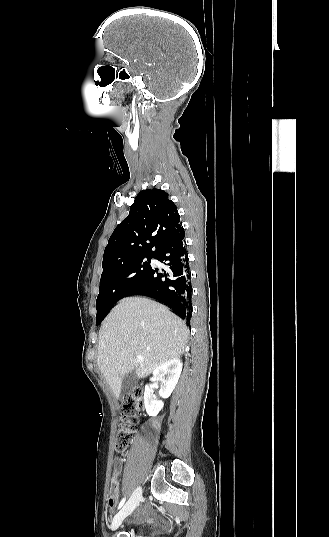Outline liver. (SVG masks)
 Returning a JSON list of instances; mask_svg holds the SVG:
<instances>
[{
	"label": "liver",
	"instance_id": "6515ba94",
	"mask_svg": "<svg viewBox=\"0 0 329 537\" xmlns=\"http://www.w3.org/2000/svg\"><path fill=\"white\" fill-rule=\"evenodd\" d=\"M188 338L185 322L164 305L143 297L124 298L102 324L98 367L118 399L125 374L135 370L138 378H144L180 358ZM137 355L144 361L138 362Z\"/></svg>",
	"mask_w": 329,
	"mask_h": 537
}]
</instances>
